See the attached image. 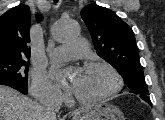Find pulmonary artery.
Listing matches in <instances>:
<instances>
[{
    "mask_svg": "<svg viewBox=\"0 0 165 120\" xmlns=\"http://www.w3.org/2000/svg\"><path fill=\"white\" fill-rule=\"evenodd\" d=\"M87 52V45L81 39H76L68 44L58 46L51 52L53 58L80 56Z\"/></svg>",
    "mask_w": 165,
    "mask_h": 120,
    "instance_id": "e3ab8cb5",
    "label": "pulmonary artery"
}]
</instances>
